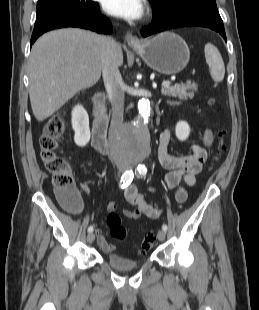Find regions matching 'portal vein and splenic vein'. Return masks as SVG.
I'll use <instances>...</instances> for the list:
<instances>
[{
    "label": "portal vein and splenic vein",
    "mask_w": 259,
    "mask_h": 310,
    "mask_svg": "<svg viewBox=\"0 0 259 310\" xmlns=\"http://www.w3.org/2000/svg\"><path fill=\"white\" fill-rule=\"evenodd\" d=\"M170 84H171L170 81H163V82H162V86H163V87H168V86H170Z\"/></svg>",
    "instance_id": "18ae733b"
}]
</instances>
